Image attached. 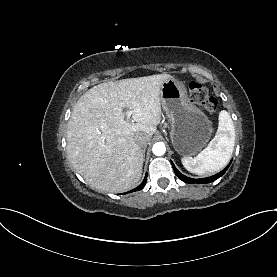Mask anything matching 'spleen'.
Listing matches in <instances>:
<instances>
[{
    "mask_svg": "<svg viewBox=\"0 0 277 277\" xmlns=\"http://www.w3.org/2000/svg\"><path fill=\"white\" fill-rule=\"evenodd\" d=\"M235 144V128L229 113H219L215 137L196 157H183L184 168L194 174L210 175L221 170L230 160Z\"/></svg>",
    "mask_w": 277,
    "mask_h": 277,
    "instance_id": "1",
    "label": "spleen"
}]
</instances>
